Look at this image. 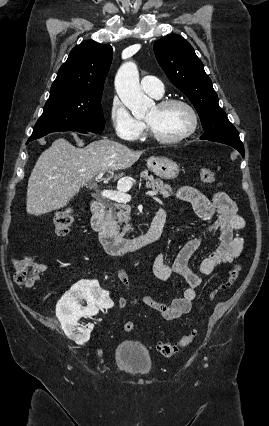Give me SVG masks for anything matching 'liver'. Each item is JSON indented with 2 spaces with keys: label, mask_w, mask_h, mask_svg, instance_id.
Masks as SVG:
<instances>
[{
  "label": "liver",
  "mask_w": 269,
  "mask_h": 426,
  "mask_svg": "<svg viewBox=\"0 0 269 426\" xmlns=\"http://www.w3.org/2000/svg\"><path fill=\"white\" fill-rule=\"evenodd\" d=\"M140 153L116 141L102 139L76 148L64 138L56 139L38 158L28 180L26 211L39 216L65 207L80 188L96 175H114L131 167Z\"/></svg>",
  "instance_id": "obj_1"
}]
</instances>
